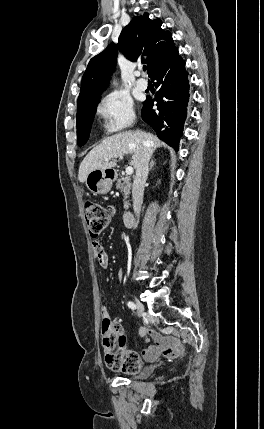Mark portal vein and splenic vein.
I'll return each mask as SVG.
<instances>
[{
    "label": "portal vein and splenic vein",
    "mask_w": 264,
    "mask_h": 429,
    "mask_svg": "<svg viewBox=\"0 0 264 429\" xmlns=\"http://www.w3.org/2000/svg\"><path fill=\"white\" fill-rule=\"evenodd\" d=\"M119 158H120V159H123V157H122V156H120ZM133 171H134V170H133V168H132L131 166H129V167H127V168H126V174H127V175H131V174H133Z\"/></svg>",
    "instance_id": "1"
}]
</instances>
